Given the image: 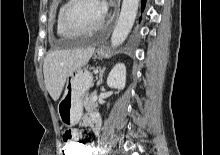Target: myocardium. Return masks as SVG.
<instances>
[{"label": "myocardium", "mask_w": 220, "mask_h": 155, "mask_svg": "<svg viewBox=\"0 0 220 155\" xmlns=\"http://www.w3.org/2000/svg\"><path fill=\"white\" fill-rule=\"evenodd\" d=\"M80 0H68L63 6L60 14V23L62 27L69 33L80 35L87 34L101 29L105 23V18H103L98 24L92 27H82L75 25L71 22L69 14L71 9L79 2Z\"/></svg>", "instance_id": "obj_1"}]
</instances>
